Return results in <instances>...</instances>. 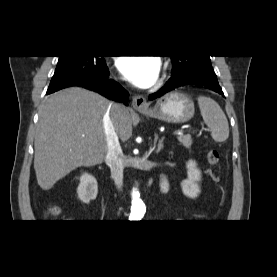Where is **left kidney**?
Here are the masks:
<instances>
[{"instance_id": "obj_1", "label": "left kidney", "mask_w": 277, "mask_h": 277, "mask_svg": "<svg viewBox=\"0 0 277 277\" xmlns=\"http://www.w3.org/2000/svg\"><path fill=\"white\" fill-rule=\"evenodd\" d=\"M187 179L181 182V189L185 196L196 198L200 194L199 182L201 180V171L193 160L186 163Z\"/></svg>"}]
</instances>
